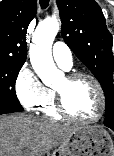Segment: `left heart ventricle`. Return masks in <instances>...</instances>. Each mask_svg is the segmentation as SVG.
Listing matches in <instances>:
<instances>
[{
  "label": "left heart ventricle",
  "mask_w": 114,
  "mask_h": 156,
  "mask_svg": "<svg viewBox=\"0 0 114 156\" xmlns=\"http://www.w3.org/2000/svg\"><path fill=\"white\" fill-rule=\"evenodd\" d=\"M56 89L60 90L65 99L68 111L78 118H92L99 108V99L93 83L85 78L68 82L63 78Z\"/></svg>",
  "instance_id": "1"
}]
</instances>
